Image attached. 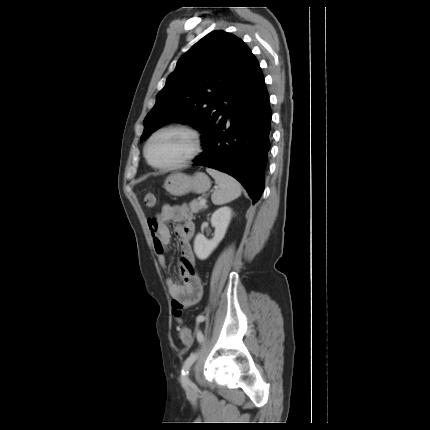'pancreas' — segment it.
<instances>
[{
	"instance_id": "1",
	"label": "pancreas",
	"mask_w": 430,
	"mask_h": 430,
	"mask_svg": "<svg viewBox=\"0 0 430 430\" xmlns=\"http://www.w3.org/2000/svg\"><path fill=\"white\" fill-rule=\"evenodd\" d=\"M190 209L193 213H198L200 210L204 209L206 206L201 205L198 200H193L189 203Z\"/></svg>"
}]
</instances>
